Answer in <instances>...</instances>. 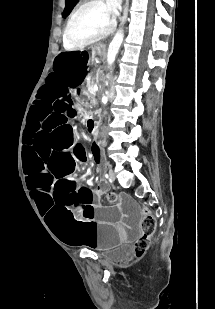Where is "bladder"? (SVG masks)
I'll return each mask as SVG.
<instances>
[{
    "label": "bladder",
    "mask_w": 215,
    "mask_h": 309,
    "mask_svg": "<svg viewBox=\"0 0 215 309\" xmlns=\"http://www.w3.org/2000/svg\"><path fill=\"white\" fill-rule=\"evenodd\" d=\"M131 251L127 247H120L115 250L109 251L105 254H103V257L111 262H120L125 260L129 255Z\"/></svg>",
    "instance_id": "31cf9c89"
}]
</instances>
